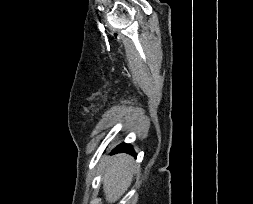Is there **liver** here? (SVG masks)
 I'll return each instance as SVG.
<instances>
[{"label": "liver", "mask_w": 253, "mask_h": 204, "mask_svg": "<svg viewBox=\"0 0 253 204\" xmlns=\"http://www.w3.org/2000/svg\"><path fill=\"white\" fill-rule=\"evenodd\" d=\"M103 172V191L106 201L116 202L128 190L133 179L134 162L127 154H117L105 159Z\"/></svg>", "instance_id": "obj_1"}]
</instances>
